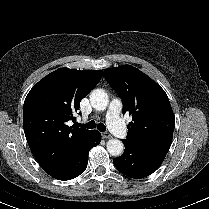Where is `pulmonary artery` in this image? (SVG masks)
Masks as SVG:
<instances>
[{
	"mask_svg": "<svg viewBox=\"0 0 209 209\" xmlns=\"http://www.w3.org/2000/svg\"><path fill=\"white\" fill-rule=\"evenodd\" d=\"M122 104L118 99H113L108 107L107 111V125L111 132L117 137L125 138L127 136V130L119 117Z\"/></svg>",
	"mask_w": 209,
	"mask_h": 209,
	"instance_id": "e3ab8cb5",
	"label": "pulmonary artery"
}]
</instances>
